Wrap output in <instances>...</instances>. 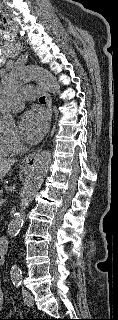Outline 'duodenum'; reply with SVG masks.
Instances as JSON below:
<instances>
[{"instance_id":"1","label":"duodenum","mask_w":118,"mask_h":320,"mask_svg":"<svg viewBox=\"0 0 118 320\" xmlns=\"http://www.w3.org/2000/svg\"><path fill=\"white\" fill-rule=\"evenodd\" d=\"M8 247V240L5 237L0 238V265L4 263L5 253Z\"/></svg>"}]
</instances>
